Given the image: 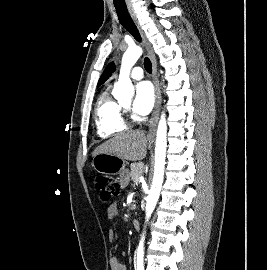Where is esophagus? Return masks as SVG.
I'll list each match as a JSON object with an SVG mask.
<instances>
[{"label":"esophagus","mask_w":267,"mask_h":270,"mask_svg":"<svg viewBox=\"0 0 267 270\" xmlns=\"http://www.w3.org/2000/svg\"><path fill=\"white\" fill-rule=\"evenodd\" d=\"M128 12H129L132 20L134 21L135 25L137 26V28L140 32V35H141L143 42H144V45L146 47V51H147L148 56H149L151 63H152L153 82H154L155 93H156V104H155V108H154L152 117L149 121L148 136L150 138H153L156 134V126H157V122H158L159 107H160V89H159V81H158V74H157V62H156L155 54L153 52L152 45L149 42V40L147 39L144 31L142 30L133 8L129 7Z\"/></svg>","instance_id":"esophagus-1"}]
</instances>
